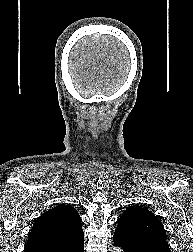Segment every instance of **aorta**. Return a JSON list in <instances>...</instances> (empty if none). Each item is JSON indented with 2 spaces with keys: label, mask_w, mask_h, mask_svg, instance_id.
I'll return each mask as SVG.
<instances>
[{
  "label": "aorta",
  "mask_w": 193,
  "mask_h": 252,
  "mask_svg": "<svg viewBox=\"0 0 193 252\" xmlns=\"http://www.w3.org/2000/svg\"><path fill=\"white\" fill-rule=\"evenodd\" d=\"M113 252H121V250L119 248H116V249H114Z\"/></svg>",
  "instance_id": "762f6f07"
}]
</instances>
